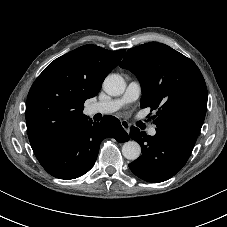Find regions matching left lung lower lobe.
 Returning <instances> with one entry per match:
<instances>
[{
	"label": "left lung lower lobe",
	"mask_w": 227,
	"mask_h": 227,
	"mask_svg": "<svg viewBox=\"0 0 227 227\" xmlns=\"http://www.w3.org/2000/svg\"><path fill=\"white\" fill-rule=\"evenodd\" d=\"M130 137L140 144L142 155L129 167L136 176L152 183L166 181L178 173L194 147L164 130H156V135L147 136L138 128L131 127Z\"/></svg>",
	"instance_id": "1"
}]
</instances>
